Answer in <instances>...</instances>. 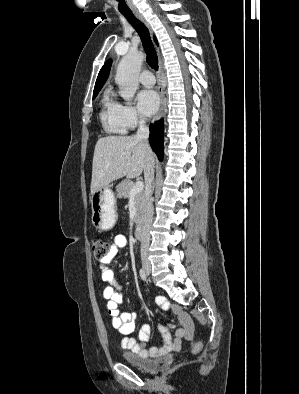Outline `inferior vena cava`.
Masks as SVG:
<instances>
[{
    "label": "inferior vena cava",
    "instance_id": "602c4592",
    "mask_svg": "<svg viewBox=\"0 0 299 394\" xmlns=\"http://www.w3.org/2000/svg\"><path fill=\"white\" fill-rule=\"evenodd\" d=\"M149 137V129L146 126L145 120L140 118L139 127L136 132L135 138L142 145L150 150V146L148 143ZM144 178H145V194H144V216H143V226L140 237L141 242V261L144 265L149 264L148 259V249L150 244V229L153 221L154 207H153V181H154V161L152 159L148 160L145 169H144Z\"/></svg>",
    "mask_w": 299,
    "mask_h": 394
}]
</instances>
